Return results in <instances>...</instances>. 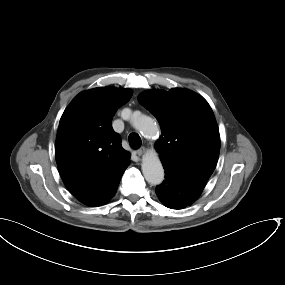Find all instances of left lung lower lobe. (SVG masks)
Here are the masks:
<instances>
[{"label": "left lung lower lobe", "mask_w": 285, "mask_h": 285, "mask_svg": "<svg viewBox=\"0 0 285 285\" xmlns=\"http://www.w3.org/2000/svg\"><path fill=\"white\" fill-rule=\"evenodd\" d=\"M163 167L165 180L155 191L160 201L171 209H182L196 201L207 181L170 166Z\"/></svg>", "instance_id": "0a47b994"}]
</instances>
